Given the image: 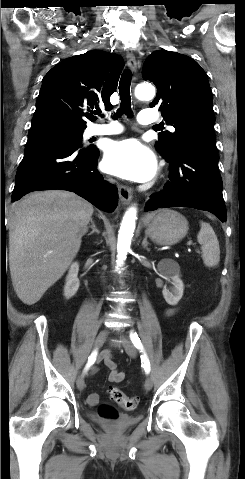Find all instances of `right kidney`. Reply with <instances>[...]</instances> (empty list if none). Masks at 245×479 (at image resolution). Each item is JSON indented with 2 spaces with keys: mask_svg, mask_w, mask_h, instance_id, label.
I'll use <instances>...</instances> for the list:
<instances>
[{
  "mask_svg": "<svg viewBox=\"0 0 245 479\" xmlns=\"http://www.w3.org/2000/svg\"><path fill=\"white\" fill-rule=\"evenodd\" d=\"M79 264L74 262L70 268L66 277V283L64 286V296L66 299L73 297L79 289L80 282L78 279Z\"/></svg>",
  "mask_w": 245,
  "mask_h": 479,
  "instance_id": "ca27d5eb",
  "label": "right kidney"
}]
</instances>
